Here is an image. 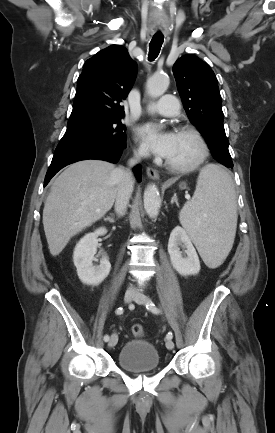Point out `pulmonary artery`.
Instances as JSON below:
<instances>
[{
  "mask_svg": "<svg viewBox=\"0 0 275 433\" xmlns=\"http://www.w3.org/2000/svg\"><path fill=\"white\" fill-rule=\"evenodd\" d=\"M151 108L160 115L171 117L179 113V101L175 96L168 94L164 95Z\"/></svg>",
  "mask_w": 275,
  "mask_h": 433,
  "instance_id": "e3ab8cb5",
  "label": "pulmonary artery"
}]
</instances>
